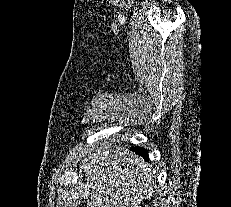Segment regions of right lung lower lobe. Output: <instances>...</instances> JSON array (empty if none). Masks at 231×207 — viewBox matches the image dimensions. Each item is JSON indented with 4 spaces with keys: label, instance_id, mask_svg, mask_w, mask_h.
Returning a JSON list of instances; mask_svg holds the SVG:
<instances>
[{
    "label": "right lung lower lobe",
    "instance_id": "1",
    "mask_svg": "<svg viewBox=\"0 0 231 207\" xmlns=\"http://www.w3.org/2000/svg\"><path fill=\"white\" fill-rule=\"evenodd\" d=\"M135 153L139 154L140 156H143L146 160H148L147 150L141 147H134L132 148Z\"/></svg>",
    "mask_w": 231,
    "mask_h": 207
}]
</instances>
